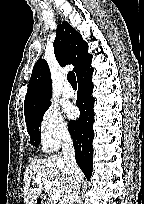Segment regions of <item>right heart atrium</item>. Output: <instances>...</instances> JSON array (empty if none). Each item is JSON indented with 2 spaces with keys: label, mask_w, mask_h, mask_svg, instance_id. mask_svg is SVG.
Here are the masks:
<instances>
[{
  "label": "right heart atrium",
  "mask_w": 144,
  "mask_h": 204,
  "mask_svg": "<svg viewBox=\"0 0 144 204\" xmlns=\"http://www.w3.org/2000/svg\"><path fill=\"white\" fill-rule=\"evenodd\" d=\"M39 130L41 145L47 151L57 149L61 142L69 138L67 124L55 107H48L42 113Z\"/></svg>",
  "instance_id": "right-heart-atrium-1"
}]
</instances>
